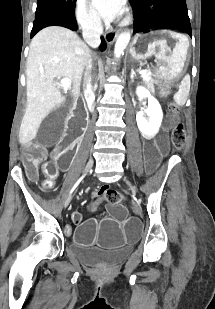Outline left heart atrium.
<instances>
[{"mask_svg":"<svg viewBox=\"0 0 215 309\" xmlns=\"http://www.w3.org/2000/svg\"><path fill=\"white\" fill-rule=\"evenodd\" d=\"M91 7H97V14L104 22H110L122 13L123 0H89Z\"/></svg>","mask_w":215,"mask_h":309,"instance_id":"39dd6f15","label":"left heart atrium"}]
</instances>
